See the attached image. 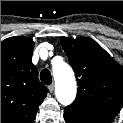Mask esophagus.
I'll list each match as a JSON object with an SVG mask.
<instances>
[{
	"label": "esophagus",
	"instance_id": "obj_1",
	"mask_svg": "<svg viewBox=\"0 0 123 123\" xmlns=\"http://www.w3.org/2000/svg\"><path fill=\"white\" fill-rule=\"evenodd\" d=\"M48 90H49L50 92H53V91H54V84H53V83L48 86Z\"/></svg>",
	"mask_w": 123,
	"mask_h": 123
}]
</instances>
